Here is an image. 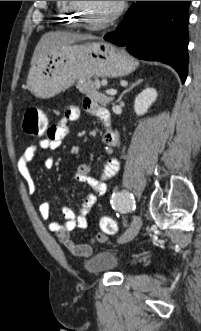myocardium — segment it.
I'll return each mask as SVG.
<instances>
[{
  "label": "myocardium",
  "instance_id": "f54148a6",
  "mask_svg": "<svg viewBox=\"0 0 201 331\" xmlns=\"http://www.w3.org/2000/svg\"><path fill=\"white\" fill-rule=\"evenodd\" d=\"M71 7L76 11L77 18L82 24L93 26V27H105L113 23L123 12L125 8V1H118L116 9L98 24H91L84 16H83V6L80 1H70Z\"/></svg>",
  "mask_w": 201,
  "mask_h": 331
}]
</instances>
